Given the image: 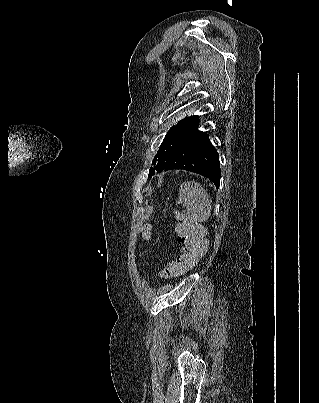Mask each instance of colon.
<instances>
[{
	"label": "colon",
	"instance_id": "colon-1",
	"mask_svg": "<svg viewBox=\"0 0 319 403\" xmlns=\"http://www.w3.org/2000/svg\"><path fill=\"white\" fill-rule=\"evenodd\" d=\"M178 219L176 233L182 245L181 251L176 260L160 272L159 276L163 278L179 275L192 268L208 248L204 230L197 222L180 216ZM141 239L143 243H152L154 238L152 234H143Z\"/></svg>",
	"mask_w": 319,
	"mask_h": 403
}]
</instances>
